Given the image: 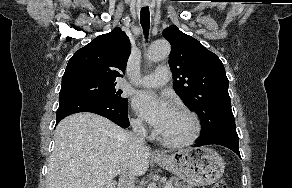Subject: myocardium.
<instances>
[{"instance_id": "f54148a6", "label": "myocardium", "mask_w": 292, "mask_h": 188, "mask_svg": "<svg viewBox=\"0 0 292 188\" xmlns=\"http://www.w3.org/2000/svg\"><path fill=\"white\" fill-rule=\"evenodd\" d=\"M175 110L187 115L193 124V131L192 133L181 140H171V139H167L165 137H163L161 134H158V140L168 146V147H173V148H179V147H185L188 145L193 144L200 136L201 132H202V124L201 121L198 117V115L193 112L192 110H190L189 108L185 107V106H177L175 108Z\"/></svg>"}]
</instances>
